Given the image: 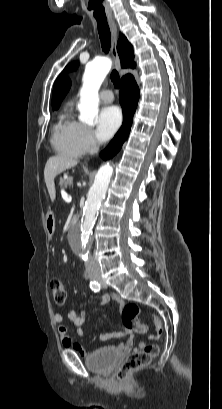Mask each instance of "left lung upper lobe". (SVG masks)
Masks as SVG:
<instances>
[{
	"label": "left lung upper lobe",
	"instance_id": "left-lung-upper-lobe-1",
	"mask_svg": "<svg viewBox=\"0 0 222 409\" xmlns=\"http://www.w3.org/2000/svg\"><path fill=\"white\" fill-rule=\"evenodd\" d=\"M77 65H78L77 62H73V63L69 64V65L64 69L63 72H67V71H70V70H74V69L77 68Z\"/></svg>",
	"mask_w": 222,
	"mask_h": 409
}]
</instances>
